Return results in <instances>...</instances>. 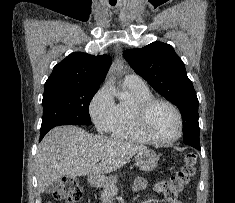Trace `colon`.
Segmentation results:
<instances>
[{"label": "colon", "mask_w": 235, "mask_h": 203, "mask_svg": "<svg viewBox=\"0 0 235 203\" xmlns=\"http://www.w3.org/2000/svg\"><path fill=\"white\" fill-rule=\"evenodd\" d=\"M195 163L196 158L194 154H186L183 164L175 175L156 183V191L166 199L175 200L194 176ZM82 195V187L79 185L77 179L72 176L65 177L61 186L53 194L55 200L66 201L67 203H77Z\"/></svg>", "instance_id": "5ec220e1"}]
</instances>
